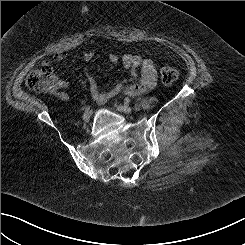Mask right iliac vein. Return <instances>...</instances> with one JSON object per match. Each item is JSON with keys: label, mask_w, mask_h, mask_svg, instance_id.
Segmentation results:
<instances>
[{"label": "right iliac vein", "mask_w": 245, "mask_h": 245, "mask_svg": "<svg viewBox=\"0 0 245 245\" xmlns=\"http://www.w3.org/2000/svg\"><path fill=\"white\" fill-rule=\"evenodd\" d=\"M90 117H91L90 112H84V114H83V116H82L83 121H84L85 123H88V122L90 121Z\"/></svg>", "instance_id": "obj_1"}]
</instances>
